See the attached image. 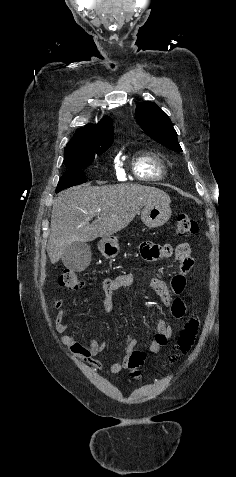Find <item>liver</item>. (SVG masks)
<instances>
[{
	"instance_id": "obj_1",
	"label": "liver",
	"mask_w": 236,
	"mask_h": 477,
	"mask_svg": "<svg viewBox=\"0 0 236 477\" xmlns=\"http://www.w3.org/2000/svg\"><path fill=\"white\" fill-rule=\"evenodd\" d=\"M169 204L170 197L154 187L138 184L83 185L60 193L54 200L47 253L57 263L73 242L108 237L127 227L150 203ZM91 214L98 218L89 223Z\"/></svg>"
}]
</instances>
